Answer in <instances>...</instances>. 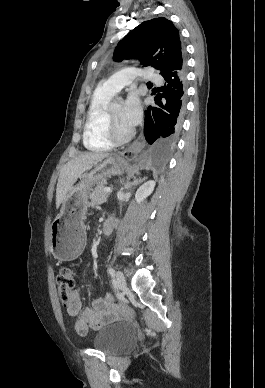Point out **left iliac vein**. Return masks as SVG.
Masks as SVG:
<instances>
[{"instance_id":"obj_1","label":"left iliac vein","mask_w":265,"mask_h":388,"mask_svg":"<svg viewBox=\"0 0 265 388\" xmlns=\"http://www.w3.org/2000/svg\"><path fill=\"white\" fill-rule=\"evenodd\" d=\"M115 284L121 290L124 291L127 288L126 280L122 272L117 271L115 276Z\"/></svg>"}]
</instances>
